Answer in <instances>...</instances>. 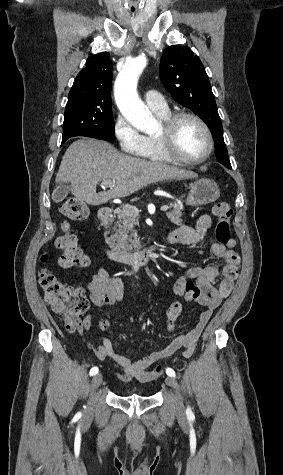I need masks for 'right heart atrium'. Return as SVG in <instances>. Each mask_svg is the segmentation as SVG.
Here are the masks:
<instances>
[{
	"mask_svg": "<svg viewBox=\"0 0 283 475\" xmlns=\"http://www.w3.org/2000/svg\"><path fill=\"white\" fill-rule=\"evenodd\" d=\"M112 131L118 141L121 155H139L144 157L147 150V138L138 132L121 114H118L112 125Z\"/></svg>",
	"mask_w": 283,
	"mask_h": 475,
	"instance_id": "d8ad5b80",
	"label": "right heart atrium"
}]
</instances>
